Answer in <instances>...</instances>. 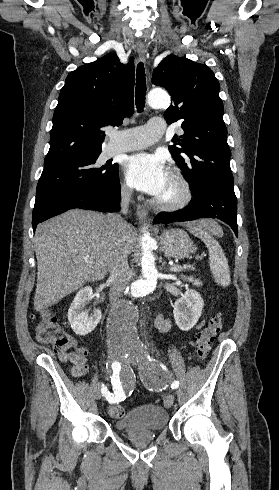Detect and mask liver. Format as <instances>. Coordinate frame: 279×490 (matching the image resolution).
<instances>
[{
	"label": "liver",
	"mask_w": 279,
	"mask_h": 490,
	"mask_svg": "<svg viewBox=\"0 0 279 490\" xmlns=\"http://www.w3.org/2000/svg\"><path fill=\"white\" fill-rule=\"evenodd\" d=\"M109 214L89 210H69L35 232L37 284L34 308L37 312L82 288L86 282L104 280L119 250L131 254L133 230L123 240L116 226H109ZM195 222L189 224L190 228ZM121 256V254H119Z\"/></svg>",
	"instance_id": "1"
}]
</instances>
